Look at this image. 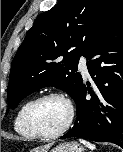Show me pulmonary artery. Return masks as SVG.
Segmentation results:
<instances>
[{"label":"pulmonary artery","mask_w":123,"mask_h":152,"mask_svg":"<svg viewBox=\"0 0 123 152\" xmlns=\"http://www.w3.org/2000/svg\"><path fill=\"white\" fill-rule=\"evenodd\" d=\"M80 72L82 73V75L87 78L89 76V72H88V68L86 65V61L85 60H80L79 61V66H78Z\"/></svg>","instance_id":"e3ab8cb5"}]
</instances>
